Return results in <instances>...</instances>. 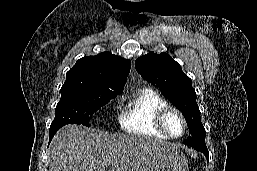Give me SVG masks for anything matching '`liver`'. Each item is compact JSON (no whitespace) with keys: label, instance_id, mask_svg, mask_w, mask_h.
<instances>
[{"label":"liver","instance_id":"liver-1","mask_svg":"<svg viewBox=\"0 0 257 171\" xmlns=\"http://www.w3.org/2000/svg\"><path fill=\"white\" fill-rule=\"evenodd\" d=\"M155 149L175 147L146 137L66 125L51 142L49 171H102L107 166L109 171H136L146 154Z\"/></svg>","mask_w":257,"mask_h":171}]
</instances>
